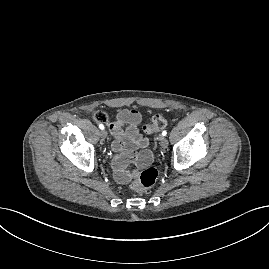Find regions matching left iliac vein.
Wrapping results in <instances>:
<instances>
[{"label": "left iliac vein", "instance_id": "left-iliac-vein-1", "mask_svg": "<svg viewBox=\"0 0 269 269\" xmlns=\"http://www.w3.org/2000/svg\"><path fill=\"white\" fill-rule=\"evenodd\" d=\"M159 141H160V146L163 149H166L168 147V140L164 136H160Z\"/></svg>", "mask_w": 269, "mask_h": 269}]
</instances>
